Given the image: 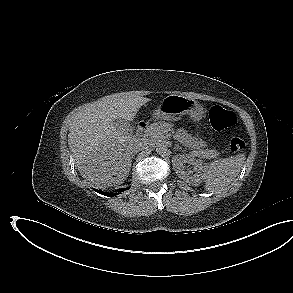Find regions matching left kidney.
Returning a JSON list of instances; mask_svg holds the SVG:
<instances>
[{
  "label": "left kidney",
  "instance_id": "5707ae66",
  "mask_svg": "<svg viewBox=\"0 0 293 293\" xmlns=\"http://www.w3.org/2000/svg\"><path fill=\"white\" fill-rule=\"evenodd\" d=\"M172 163L173 168L179 178L188 183H198L206 167L205 165H203L202 160L195 159L192 154L176 155L173 157ZM186 163L193 166V171H185Z\"/></svg>",
  "mask_w": 293,
  "mask_h": 293
}]
</instances>
